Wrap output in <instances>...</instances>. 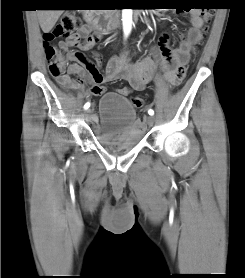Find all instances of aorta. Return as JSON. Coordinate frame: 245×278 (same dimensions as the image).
Returning a JSON list of instances; mask_svg holds the SVG:
<instances>
[{
	"instance_id": "762f6f07",
	"label": "aorta",
	"mask_w": 245,
	"mask_h": 278,
	"mask_svg": "<svg viewBox=\"0 0 245 278\" xmlns=\"http://www.w3.org/2000/svg\"><path fill=\"white\" fill-rule=\"evenodd\" d=\"M122 23L124 34H129L132 27V9L122 10Z\"/></svg>"
}]
</instances>
